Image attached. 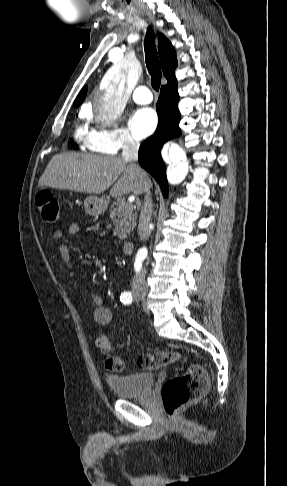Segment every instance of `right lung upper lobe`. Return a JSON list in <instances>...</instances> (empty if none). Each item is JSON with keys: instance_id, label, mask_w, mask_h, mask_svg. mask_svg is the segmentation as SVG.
<instances>
[{"instance_id": "obj_1", "label": "right lung upper lobe", "mask_w": 287, "mask_h": 486, "mask_svg": "<svg viewBox=\"0 0 287 486\" xmlns=\"http://www.w3.org/2000/svg\"><path fill=\"white\" fill-rule=\"evenodd\" d=\"M158 50L159 56L162 64L163 74L166 77L168 84L176 82L174 75L175 68L177 67V58L175 49L173 48L170 41L161 33L158 34ZM87 87H84L76 100L74 101V106L78 107L85 99Z\"/></svg>"}]
</instances>
